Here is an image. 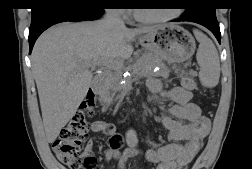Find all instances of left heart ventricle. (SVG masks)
Segmentation results:
<instances>
[{"instance_id": "left-heart-ventricle-1", "label": "left heart ventricle", "mask_w": 252, "mask_h": 169, "mask_svg": "<svg viewBox=\"0 0 252 169\" xmlns=\"http://www.w3.org/2000/svg\"><path fill=\"white\" fill-rule=\"evenodd\" d=\"M137 12L139 15L143 16V17H158L161 16L163 14H166L169 11H160V10H151V9H137Z\"/></svg>"}]
</instances>
